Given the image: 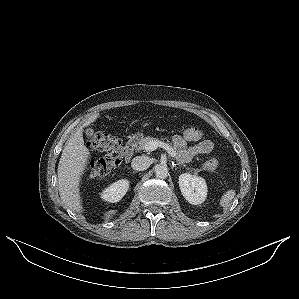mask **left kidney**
I'll return each mask as SVG.
<instances>
[{
	"instance_id": "1",
	"label": "left kidney",
	"mask_w": 299,
	"mask_h": 299,
	"mask_svg": "<svg viewBox=\"0 0 299 299\" xmlns=\"http://www.w3.org/2000/svg\"><path fill=\"white\" fill-rule=\"evenodd\" d=\"M179 187L183 197L193 205L201 204L207 196V185L202 177L183 173L179 176Z\"/></svg>"
}]
</instances>
